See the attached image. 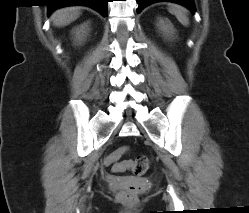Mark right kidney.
I'll return each instance as SVG.
<instances>
[{"mask_svg": "<svg viewBox=\"0 0 249 213\" xmlns=\"http://www.w3.org/2000/svg\"><path fill=\"white\" fill-rule=\"evenodd\" d=\"M89 31V22L83 23L82 25L75 27L72 30V34L75 36V41L79 44L85 40Z\"/></svg>", "mask_w": 249, "mask_h": 213, "instance_id": "ca27d5eb", "label": "right kidney"}]
</instances>
